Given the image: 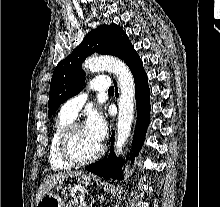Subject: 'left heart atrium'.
Instances as JSON below:
<instances>
[{"instance_id":"obj_1","label":"left heart atrium","mask_w":220,"mask_h":207,"mask_svg":"<svg viewBox=\"0 0 220 207\" xmlns=\"http://www.w3.org/2000/svg\"><path fill=\"white\" fill-rule=\"evenodd\" d=\"M86 133L101 144L107 133V125L104 117L98 111L91 112L84 127Z\"/></svg>"}]
</instances>
